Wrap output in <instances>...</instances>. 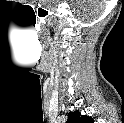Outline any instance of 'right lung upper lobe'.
Wrapping results in <instances>:
<instances>
[{"label":"right lung upper lobe","mask_w":124,"mask_h":123,"mask_svg":"<svg viewBox=\"0 0 124 123\" xmlns=\"http://www.w3.org/2000/svg\"><path fill=\"white\" fill-rule=\"evenodd\" d=\"M67 123H92V118L75 111L68 114Z\"/></svg>","instance_id":"obj_1"}]
</instances>
